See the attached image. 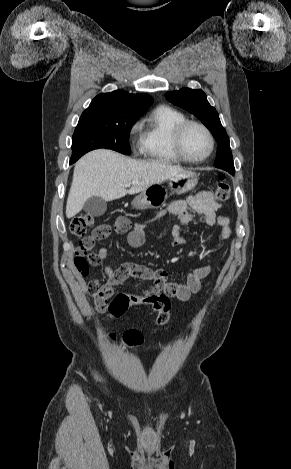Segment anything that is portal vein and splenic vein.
<instances>
[{
  "label": "portal vein and splenic vein",
  "mask_w": 291,
  "mask_h": 469,
  "mask_svg": "<svg viewBox=\"0 0 291 469\" xmlns=\"http://www.w3.org/2000/svg\"><path fill=\"white\" fill-rule=\"evenodd\" d=\"M133 183H134V182H132V184H133ZM130 184H131V183L127 184L126 186H130Z\"/></svg>",
  "instance_id": "portal-vein-and-splenic-vein-1"
}]
</instances>
